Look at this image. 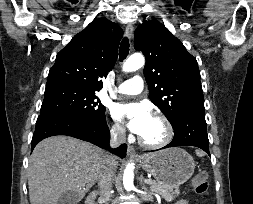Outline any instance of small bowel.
<instances>
[{
    "instance_id": "obj_1",
    "label": "small bowel",
    "mask_w": 253,
    "mask_h": 204,
    "mask_svg": "<svg viewBox=\"0 0 253 204\" xmlns=\"http://www.w3.org/2000/svg\"><path fill=\"white\" fill-rule=\"evenodd\" d=\"M176 204H189L186 200H180Z\"/></svg>"
}]
</instances>
